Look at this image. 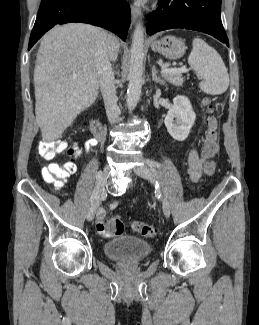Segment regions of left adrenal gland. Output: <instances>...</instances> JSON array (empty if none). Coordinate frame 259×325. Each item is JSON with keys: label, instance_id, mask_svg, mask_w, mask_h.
I'll list each match as a JSON object with an SVG mask.
<instances>
[{"label": "left adrenal gland", "instance_id": "1", "mask_svg": "<svg viewBox=\"0 0 259 325\" xmlns=\"http://www.w3.org/2000/svg\"><path fill=\"white\" fill-rule=\"evenodd\" d=\"M152 80L155 83H159L160 85H164L165 84V81L164 80H162L160 77H157V70H156V67L155 66L152 67Z\"/></svg>", "mask_w": 259, "mask_h": 325}]
</instances>
